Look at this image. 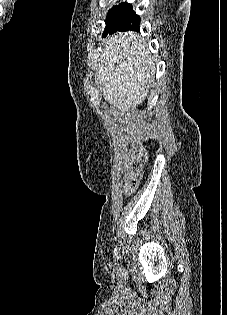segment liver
Here are the masks:
<instances>
[{"label": "liver", "mask_w": 227, "mask_h": 315, "mask_svg": "<svg viewBox=\"0 0 227 315\" xmlns=\"http://www.w3.org/2000/svg\"><path fill=\"white\" fill-rule=\"evenodd\" d=\"M98 60L95 82L105 100L122 114L142 104L153 83L156 60L140 36L118 32L108 37Z\"/></svg>", "instance_id": "liver-1"}]
</instances>
